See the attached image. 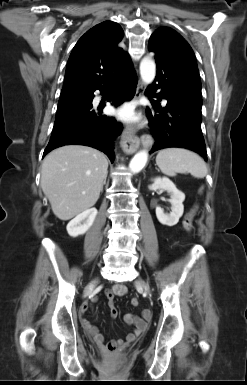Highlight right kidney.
I'll use <instances>...</instances> for the list:
<instances>
[{"label": "right kidney", "mask_w": 247, "mask_h": 385, "mask_svg": "<svg viewBox=\"0 0 247 385\" xmlns=\"http://www.w3.org/2000/svg\"><path fill=\"white\" fill-rule=\"evenodd\" d=\"M97 215V209L96 208H90L79 215H77L74 219H72L66 229L68 234L71 237H77L79 235L85 234L90 227L92 226L95 218Z\"/></svg>", "instance_id": "ca27d5eb"}]
</instances>
